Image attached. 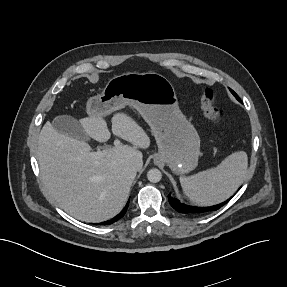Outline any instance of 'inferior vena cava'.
<instances>
[{
	"mask_svg": "<svg viewBox=\"0 0 287 287\" xmlns=\"http://www.w3.org/2000/svg\"><path fill=\"white\" fill-rule=\"evenodd\" d=\"M143 161L142 159L136 158L130 162V166L133 170L139 171L142 168Z\"/></svg>",
	"mask_w": 287,
	"mask_h": 287,
	"instance_id": "602c4592",
	"label": "inferior vena cava"
}]
</instances>
